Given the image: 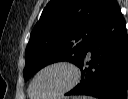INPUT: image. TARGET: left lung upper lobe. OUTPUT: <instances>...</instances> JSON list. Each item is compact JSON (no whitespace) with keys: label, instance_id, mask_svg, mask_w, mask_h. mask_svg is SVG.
<instances>
[{"label":"left lung upper lobe","instance_id":"obj_1","mask_svg":"<svg viewBox=\"0 0 128 99\" xmlns=\"http://www.w3.org/2000/svg\"><path fill=\"white\" fill-rule=\"evenodd\" d=\"M108 0H51L34 26L25 52V80L57 61L77 64L88 48Z\"/></svg>","mask_w":128,"mask_h":99}]
</instances>
